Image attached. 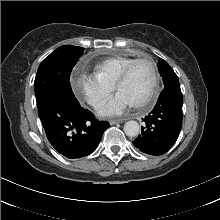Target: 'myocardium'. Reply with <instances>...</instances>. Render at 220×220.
Masks as SVG:
<instances>
[{
	"mask_svg": "<svg viewBox=\"0 0 220 220\" xmlns=\"http://www.w3.org/2000/svg\"><path fill=\"white\" fill-rule=\"evenodd\" d=\"M141 62H148L151 68V73H152V83H151V88H150V92L148 94V96L141 102L134 104L135 107L137 108H143L145 106H148L149 104H151L158 93V87H159V74H158V69H157V65L156 62L149 56H144L141 58H136L134 59L132 62H130L125 69L122 71V73L120 74V76L118 77L117 81L115 82V89L118 90L119 87L127 81V79L129 78L133 68Z\"/></svg>",
	"mask_w": 220,
	"mask_h": 220,
	"instance_id": "myocardium-1",
	"label": "myocardium"
}]
</instances>
